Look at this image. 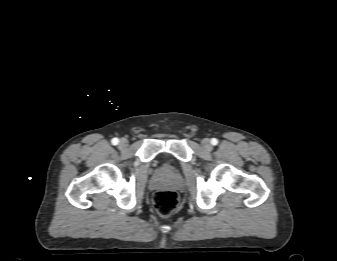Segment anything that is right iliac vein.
<instances>
[{
	"label": "right iliac vein",
	"instance_id": "63e3f726",
	"mask_svg": "<svg viewBox=\"0 0 337 261\" xmlns=\"http://www.w3.org/2000/svg\"><path fill=\"white\" fill-rule=\"evenodd\" d=\"M128 146V140L125 138H122L119 142V148L124 149Z\"/></svg>",
	"mask_w": 337,
	"mask_h": 261
}]
</instances>
